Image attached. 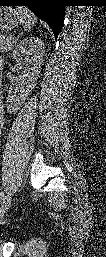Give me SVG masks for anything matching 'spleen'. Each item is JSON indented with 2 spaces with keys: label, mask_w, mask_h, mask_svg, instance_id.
Segmentation results:
<instances>
[{
  "label": "spleen",
  "mask_w": 106,
  "mask_h": 257,
  "mask_svg": "<svg viewBox=\"0 0 106 257\" xmlns=\"http://www.w3.org/2000/svg\"><path fill=\"white\" fill-rule=\"evenodd\" d=\"M20 21L25 30L31 29L36 23V17L31 13L28 8H19Z\"/></svg>",
  "instance_id": "1"
}]
</instances>
